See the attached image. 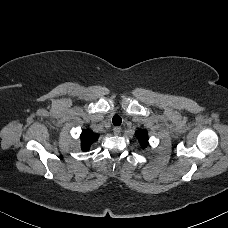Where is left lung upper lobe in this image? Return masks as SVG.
Returning a JSON list of instances; mask_svg holds the SVG:
<instances>
[{
	"instance_id": "1",
	"label": "left lung upper lobe",
	"mask_w": 228,
	"mask_h": 228,
	"mask_svg": "<svg viewBox=\"0 0 228 228\" xmlns=\"http://www.w3.org/2000/svg\"><path fill=\"white\" fill-rule=\"evenodd\" d=\"M136 136L140 142V145L143 147V148H146L148 146V134H147V131L146 130H143V129H139L137 132H136Z\"/></svg>"
}]
</instances>
